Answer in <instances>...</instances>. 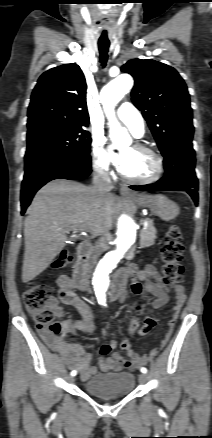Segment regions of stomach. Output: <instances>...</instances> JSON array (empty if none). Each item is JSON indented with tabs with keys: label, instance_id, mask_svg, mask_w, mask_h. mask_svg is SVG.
I'll list each match as a JSON object with an SVG mask.
<instances>
[{
	"label": "stomach",
	"instance_id": "stomach-1",
	"mask_svg": "<svg viewBox=\"0 0 212 438\" xmlns=\"http://www.w3.org/2000/svg\"><path fill=\"white\" fill-rule=\"evenodd\" d=\"M130 200L138 205L149 207L156 216L165 221H170L179 214L178 205L163 195L140 194Z\"/></svg>",
	"mask_w": 212,
	"mask_h": 438
}]
</instances>
